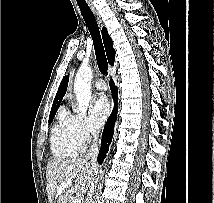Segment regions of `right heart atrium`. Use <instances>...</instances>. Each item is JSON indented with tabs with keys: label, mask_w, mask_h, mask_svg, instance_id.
Returning a JSON list of instances; mask_svg holds the SVG:
<instances>
[{
	"label": "right heart atrium",
	"mask_w": 214,
	"mask_h": 203,
	"mask_svg": "<svg viewBox=\"0 0 214 203\" xmlns=\"http://www.w3.org/2000/svg\"><path fill=\"white\" fill-rule=\"evenodd\" d=\"M66 121L78 142L82 145L89 142L97 133V128L84 115H66Z\"/></svg>",
	"instance_id": "right-heart-atrium-1"
}]
</instances>
